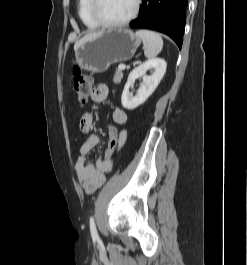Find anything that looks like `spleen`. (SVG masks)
Listing matches in <instances>:
<instances>
[{"label": "spleen", "mask_w": 247, "mask_h": 265, "mask_svg": "<svg viewBox=\"0 0 247 265\" xmlns=\"http://www.w3.org/2000/svg\"><path fill=\"white\" fill-rule=\"evenodd\" d=\"M135 35L143 41L145 57L151 59L161 52L163 40L158 33L150 30H138Z\"/></svg>", "instance_id": "obj_1"}]
</instances>
